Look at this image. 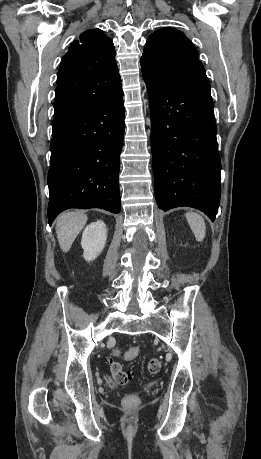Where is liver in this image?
I'll use <instances>...</instances> for the list:
<instances>
[{
  "mask_svg": "<svg viewBox=\"0 0 261 459\" xmlns=\"http://www.w3.org/2000/svg\"><path fill=\"white\" fill-rule=\"evenodd\" d=\"M87 215L82 212H66L56 223V234L63 252H68L87 222Z\"/></svg>",
  "mask_w": 261,
  "mask_h": 459,
  "instance_id": "6515ba94",
  "label": "liver"
}]
</instances>
